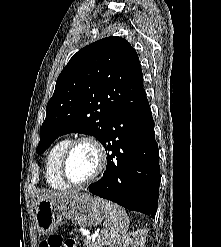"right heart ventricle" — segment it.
Returning a JSON list of instances; mask_svg holds the SVG:
<instances>
[{
	"mask_svg": "<svg viewBox=\"0 0 221 247\" xmlns=\"http://www.w3.org/2000/svg\"><path fill=\"white\" fill-rule=\"evenodd\" d=\"M70 142L71 139L68 137L60 139L52 146L46 158L47 183L57 190H66L69 188V185L60 175V164L62 156Z\"/></svg>",
	"mask_w": 221,
	"mask_h": 247,
	"instance_id": "obj_1",
	"label": "right heart ventricle"
}]
</instances>
